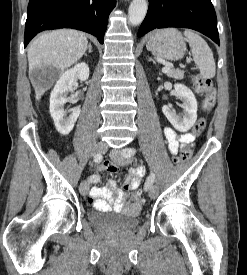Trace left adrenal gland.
<instances>
[{"instance_id":"obj_1","label":"left adrenal gland","mask_w":247,"mask_h":275,"mask_svg":"<svg viewBox=\"0 0 247 275\" xmlns=\"http://www.w3.org/2000/svg\"><path fill=\"white\" fill-rule=\"evenodd\" d=\"M149 61H152L153 63H156L152 58H149Z\"/></svg>"}]
</instances>
